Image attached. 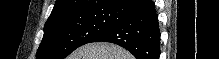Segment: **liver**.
Masks as SVG:
<instances>
[{
	"mask_svg": "<svg viewBox=\"0 0 219 59\" xmlns=\"http://www.w3.org/2000/svg\"><path fill=\"white\" fill-rule=\"evenodd\" d=\"M67 59H134V57L120 46L100 42L78 48Z\"/></svg>",
	"mask_w": 219,
	"mask_h": 59,
	"instance_id": "liver-1",
	"label": "liver"
}]
</instances>
